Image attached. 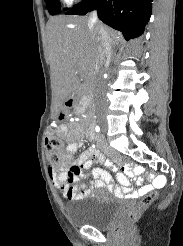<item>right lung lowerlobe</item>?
<instances>
[{
    "mask_svg": "<svg viewBox=\"0 0 183 246\" xmlns=\"http://www.w3.org/2000/svg\"><path fill=\"white\" fill-rule=\"evenodd\" d=\"M153 0H86L68 10L66 14L85 15L98 11L105 24L123 33L126 40L140 36L150 19Z\"/></svg>",
    "mask_w": 183,
    "mask_h": 246,
    "instance_id": "obj_1",
    "label": "right lung lower lobe"
}]
</instances>
